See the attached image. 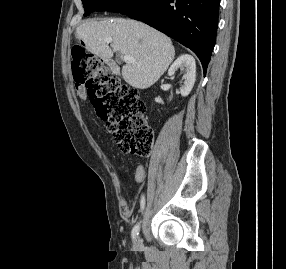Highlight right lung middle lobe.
I'll return each instance as SVG.
<instances>
[{"label":"right lung middle lobe","mask_w":286,"mask_h":269,"mask_svg":"<svg viewBox=\"0 0 286 269\" xmlns=\"http://www.w3.org/2000/svg\"><path fill=\"white\" fill-rule=\"evenodd\" d=\"M155 0H82L85 13L89 15L93 11H112L130 15L145 9Z\"/></svg>","instance_id":"obj_1"}]
</instances>
